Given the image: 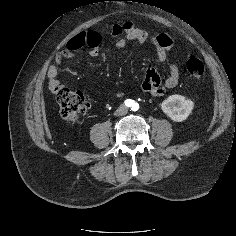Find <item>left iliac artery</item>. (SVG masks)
Segmentation results:
<instances>
[{"mask_svg":"<svg viewBox=\"0 0 236 236\" xmlns=\"http://www.w3.org/2000/svg\"><path fill=\"white\" fill-rule=\"evenodd\" d=\"M138 108H139L138 104H134V105H133V109H134V110H137Z\"/></svg>","mask_w":236,"mask_h":236,"instance_id":"44dca946","label":"left iliac artery"}]
</instances>
